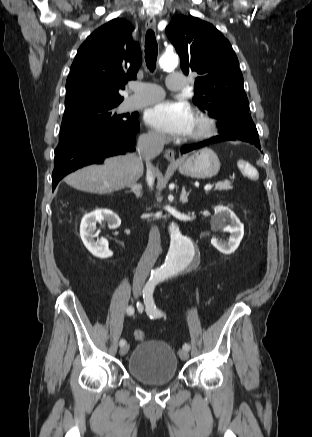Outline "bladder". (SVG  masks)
<instances>
[{
  "mask_svg": "<svg viewBox=\"0 0 312 437\" xmlns=\"http://www.w3.org/2000/svg\"><path fill=\"white\" fill-rule=\"evenodd\" d=\"M128 373L144 384H168L178 374L176 353L165 341H143L130 354Z\"/></svg>",
  "mask_w": 312,
  "mask_h": 437,
  "instance_id": "obj_1",
  "label": "bladder"
}]
</instances>
